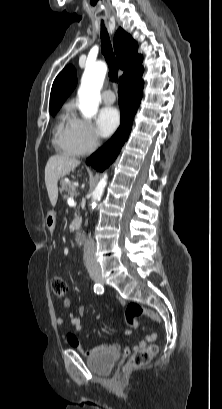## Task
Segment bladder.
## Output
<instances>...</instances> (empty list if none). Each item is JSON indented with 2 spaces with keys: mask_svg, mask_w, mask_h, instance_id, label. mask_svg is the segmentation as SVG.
<instances>
[{
  "mask_svg": "<svg viewBox=\"0 0 222 409\" xmlns=\"http://www.w3.org/2000/svg\"><path fill=\"white\" fill-rule=\"evenodd\" d=\"M119 359L116 351H105L87 359V366L96 374H107L111 372Z\"/></svg>",
  "mask_w": 222,
  "mask_h": 409,
  "instance_id": "obj_1",
  "label": "bladder"
}]
</instances>
